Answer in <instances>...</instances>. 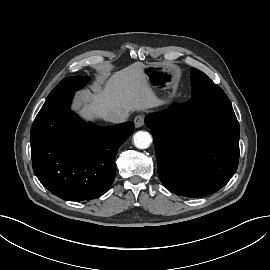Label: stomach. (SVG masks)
<instances>
[{
  "mask_svg": "<svg viewBox=\"0 0 270 270\" xmlns=\"http://www.w3.org/2000/svg\"><path fill=\"white\" fill-rule=\"evenodd\" d=\"M143 71L152 87L168 99L179 77L178 68L168 63H153L143 65Z\"/></svg>",
  "mask_w": 270,
  "mask_h": 270,
  "instance_id": "1",
  "label": "stomach"
}]
</instances>
